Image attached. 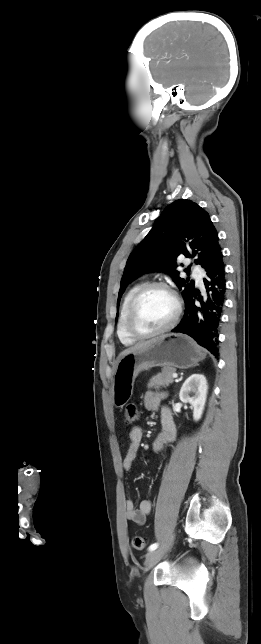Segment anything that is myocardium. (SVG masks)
<instances>
[{"instance_id": "1", "label": "myocardium", "mask_w": 261, "mask_h": 644, "mask_svg": "<svg viewBox=\"0 0 261 644\" xmlns=\"http://www.w3.org/2000/svg\"><path fill=\"white\" fill-rule=\"evenodd\" d=\"M153 288H161L165 291H167L173 298L174 303H175V311L172 319L170 322L165 325L164 327L153 331L149 333H140L138 332L135 327H134V317H135V312L137 309V305L142 298V296L149 290ZM182 313V303L181 300L178 296V294L175 292L174 289H172L167 283L162 282V281H151L143 284L133 295L128 310L125 318V329L127 334L134 340L136 341H141V340H146L150 339L159 335H162L170 330H172L178 323L180 316Z\"/></svg>"}]
</instances>
